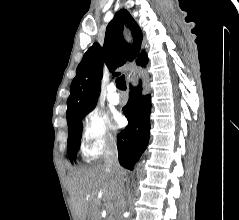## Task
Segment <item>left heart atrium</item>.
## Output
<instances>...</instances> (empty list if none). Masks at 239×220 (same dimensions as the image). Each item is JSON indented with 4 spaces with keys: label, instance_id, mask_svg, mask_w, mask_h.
<instances>
[{
    "label": "left heart atrium",
    "instance_id": "left-heart-atrium-1",
    "mask_svg": "<svg viewBox=\"0 0 239 220\" xmlns=\"http://www.w3.org/2000/svg\"><path fill=\"white\" fill-rule=\"evenodd\" d=\"M115 122L117 126H121L123 124V119L119 115L115 116Z\"/></svg>",
    "mask_w": 239,
    "mask_h": 220
}]
</instances>
